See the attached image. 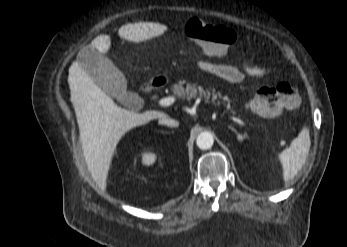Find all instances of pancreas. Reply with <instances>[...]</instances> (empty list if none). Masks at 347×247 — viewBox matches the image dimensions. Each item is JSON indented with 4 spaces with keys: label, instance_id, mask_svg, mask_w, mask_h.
<instances>
[{
    "label": "pancreas",
    "instance_id": "cf45deb5",
    "mask_svg": "<svg viewBox=\"0 0 347 247\" xmlns=\"http://www.w3.org/2000/svg\"><path fill=\"white\" fill-rule=\"evenodd\" d=\"M171 92L181 98L186 97L187 99L192 98H205L207 101L211 97L212 101H215L217 98V105L222 104L226 111L232 115H236V111L231 106V101L227 96H222L220 92H215L212 90V93L209 90H204L203 87L198 86L197 84L187 82L186 80H179L177 83L170 86Z\"/></svg>",
    "mask_w": 347,
    "mask_h": 247
}]
</instances>
